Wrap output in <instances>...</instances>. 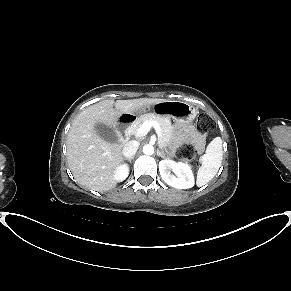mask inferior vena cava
<instances>
[{
    "instance_id": "602c4592",
    "label": "inferior vena cava",
    "mask_w": 291,
    "mask_h": 291,
    "mask_svg": "<svg viewBox=\"0 0 291 291\" xmlns=\"http://www.w3.org/2000/svg\"><path fill=\"white\" fill-rule=\"evenodd\" d=\"M138 147L139 142L133 140L129 141L123 147L122 153L126 158H131L136 154Z\"/></svg>"
}]
</instances>
